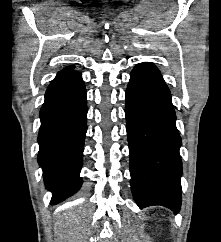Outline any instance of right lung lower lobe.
<instances>
[{"label": "right lung lower lobe", "instance_id": "right-lung-lower-lobe-1", "mask_svg": "<svg viewBox=\"0 0 221 242\" xmlns=\"http://www.w3.org/2000/svg\"><path fill=\"white\" fill-rule=\"evenodd\" d=\"M86 115V89L81 73L71 71L56 77L45 93L38 135V162L45 185L53 192L51 204L63 201L82 184L79 172Z\"/></svg>", "mask_w": 221, "mask_h": 242}]
</instances>
